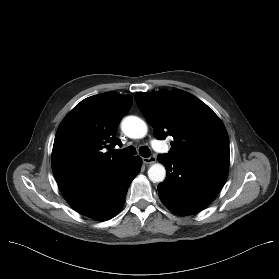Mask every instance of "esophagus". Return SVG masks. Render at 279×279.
<instances>
[{
  "label": "esophagus",
  "mask_w": 279,
  "mask_h": 279,
  "mask_svg": "<svg viewBox=\"0 0 279 279\" xmlns=\"http://www.w3.org/2000/svg\"><path fill=\"white\" fill-rule=\"evenodd\" d=\"M143 163L144 164H153L156 162V157L155 156H150L148 158H143Z\"/></svg>",
  "instance_id": "1"
}]
</instances>
